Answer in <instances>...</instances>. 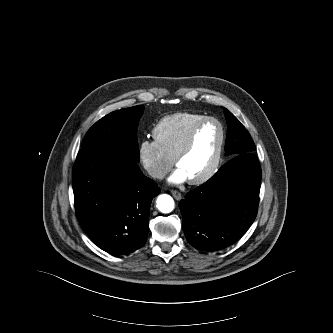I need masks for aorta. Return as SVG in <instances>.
Segmentation results:
<instances>
[{
    "label": "aorta",
    "instance_id": "aorta-1",
    "mask_svg": "<svg viewBox=\"0 0 333 333\" xmlns=\"http://www.w3.org/2000/svg\"><path fill=\"white\" fill-rule=\"evenodd\" d=\"M157 208L162 213H170L173 211L175 203L170 195L162 194L157 198Z\"/></svg>",
    "mask_w": 333,
    "mask_h": 333
}]
</instances>
